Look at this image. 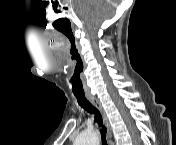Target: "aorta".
<instances>
[{"instance_id":"aorta-1","label":"aorta","mask_w":176,"mask_h":145,"mask_svg":"<svg viewBox=\"0 0 176 145\" xmlns=\"http://www.w3.org/2000/svg\"><path fill=\"white\" fill-rule=\"evenodd\" d=\"M77 145H98L99 139L96 132H84L78 136Z\"/></svg>"}]
</instances>
